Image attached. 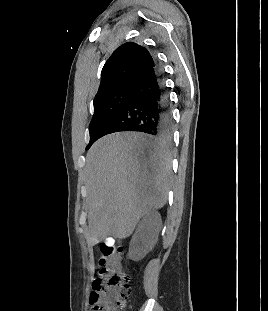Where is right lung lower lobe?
Wrapping results in <instances>:
<instances>
[{
  "instance_id": "1",
  "label": "right lung lower lobe",
  "mask_w": 268,
  "mask_h": 311,
  "mask_svg": "<svg viewBox=\"0 0 268 311\" xmlns=\"http://www.w3.org/2000/svg\"><path fill=\"white\" fill-rule=\"evenodd\" d=\"M171 130L169 99L162 72L154 62V67L136 83L131 99L105 129L103 136L120 131H137L168 140Z\"/></svg>"
}]
</instances>
